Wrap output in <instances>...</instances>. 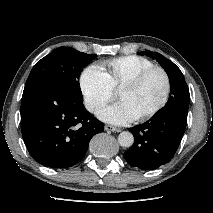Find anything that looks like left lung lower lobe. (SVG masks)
Segmentation results:
<instances>
[{"mask_svg": "<svg viewBox=\"0 0 213 213\" xmlns=\"http://www.w3.org/2000/svg\"><path fill=\"white\" fill-rule=\"evenodd\" d=\"M187 112L166 110L143 125L130 128L133 146L124 153L127 163L141 170H152L174 156L185 131Z\"/></svg>", "mask_w": 213, "mask_h": 213, "instance_id": "1", "label": "left lung lower lobe"}]
</instances>
